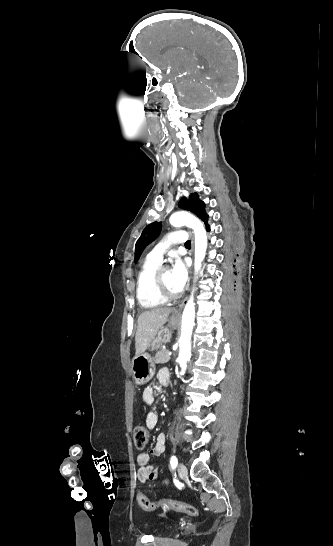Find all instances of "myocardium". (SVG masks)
I'll use <instances>...</instances> for the list:
<instances>
[{
	"instance_id": "obj_1",
	"label": "myocardium",
	"mask_w": 333,
	"mask_h": 546,
	"mask_svg": "<svg viewBox=\"0 0 333 546\" xmlns=\"http://www.w3.org/2000/svg\"><path fill=\"white\" fill-rule=\"evenodd\" d=\"M166 270H167L166 267H160L157 270L154 276L153 284H154V289L157 295L161 297L162 299L169 301V300H174L179 298L180 294L172 293L165 287L163 283V274Z\"/></svg>"
}]
</instances>
